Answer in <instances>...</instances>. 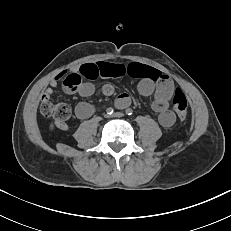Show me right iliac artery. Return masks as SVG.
<instances>
[{
	"label": "right iliac artery",
	"instance_id": "obj_1",
	"mask_svg": "<svg viewBox=\"0 0 231 231\" xmlns=\"http://www.w3.org/2000/svg\"><path fill=\"white\" fill-rule=\"evenodd\" d=\"M114 112L113 108H108L107 109V114L111 115Z\"/></svg>",
	"mask_w": 231,
	"mask_h": 231
}]
</instances>
